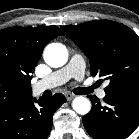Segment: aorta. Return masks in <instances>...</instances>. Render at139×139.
<instances>
[{"instance_id": "aorta-1", "label": "aorta", "mask_w": 139, "mask_h": 139, "mask_svg": "<svg viewBox=\"0 0 139 139\" xmlns=\"http://www.w3.org/2000/svg\"><path fill=\"white\" fill-rule=\"evenodd\" d=\"M45 62L54 68L61 67L68 60V50L61 43H51L44 49ZM73 109L80 115H86L91 110L90 101L82 96L76 97L72 102Z\"/></svg>"}]
</instances>
